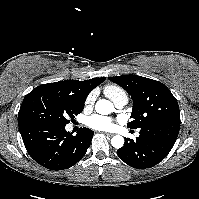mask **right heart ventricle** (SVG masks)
Masks as SVG:
<instances>
[{
    "label": "right heart ventricle",
    "mask_w": 199,
    "mask_h": 199,
    "mask_svg": "<svg viewBox=\"0 0 199 199\" xmlns=\"http://www.w3.org/2000/svg\"><path fill=\"white\" fill-rule=\"evenodd\" d=\"M106 89L115 91V92H117V93L123 92L122 89H120V88H118V87H116V86H108ZM123 93H124V92H123Z\"/></svg>",
    "instance_id": "right-heart-ventricle-1"
}]
</instances>
